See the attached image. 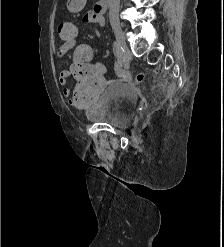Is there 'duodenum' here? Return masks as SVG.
<instances>
[{"instance_id":"obj_1","label":"duodenum","mask_w":224,"mask_h":247,"mask_svg":"<svg viewBox=\"0 0 224 247\" xmlns=\"http://www.w3.org/2000/svg\"><path fill=\"white\" fill-rule=\"evenodd\" d=\"M108 0H100L97 4H96V10L100 13L104 12L107 6Z\"/></svg>"}]
</instances>
